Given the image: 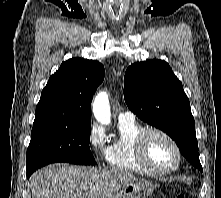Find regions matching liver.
I'll return each instance as SVG.
<instances>
[{
	"label": "liver",
	"mask_w": 221,
	"mask_h": 198,
	"mask_svg": "<svg viewBox=\"0 0 221 198\" xmlns=\"http://www.w3.org/2000/svg\"><path fill=\"white\" fill-rule=\"evenodd\" d=\"M133 179L119 170L54 164L31 176L30 189L32 198H106Z\"/></svg>",
	"instance_id": "1"
}]
</instances>
